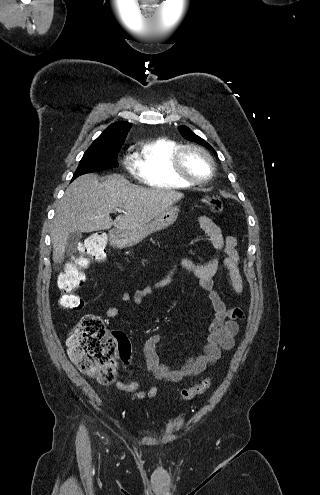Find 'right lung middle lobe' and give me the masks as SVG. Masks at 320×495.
<instances>
[{
  "label": "right lung middle lobe",
  "instance_id": "1",
  "mask_svg": "<svg viewBox=\"0 0 320 495\" xmlns=\"http://www.w3.org/2000/svg\"><path fill=\"white\" fill-rule=\"evenodd\" d=\"M119 146H90L79 162L72 181L80 175L102 171L118 166Z\"/></svg>",
  "mask_w": 320,
  "mask_h": 495
}]
</instances>
